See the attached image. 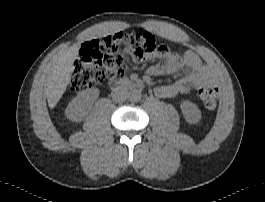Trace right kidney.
<instances>
[{"label": "right kidney", "mask_w": 265, "mask_h": 202, "mask_svg": "<svg viewBox=\"0 0 265 202\" xmlns=\"http://www.w3.org/2000/svg\"><path fill=\"white\" fill-rule=\"evenodd\" d=\"M99 93L100 92L97 88L86 89L78 93V95L68 104L65 111L66 117L74 122L82 121L85 118L87 111L98 98Z\"/></svg>", "instance_id": "ca27d5eb"}]
</instances>
